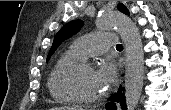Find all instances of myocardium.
<instances>
[{
    "label": "myocardium",
    "mask_w": 171,
    "mask_h": 110,
    "mask_svg": "<svg viewBox=\"0 0 171 110\" xmlns=\"http://www.w3.org/2000/svg\"><path fill=\"white\" fill-rule=\"evenodd\" d=\"M83 69H93V65L85 60H79L68 65L60 74V85L62 89L76 102L83 104H94L102 101L107 96V91L95 97L82 95L74 85L75 75Z\"/></svg>",
    "instance_id": "myocardium-1"
}]
</instances>
